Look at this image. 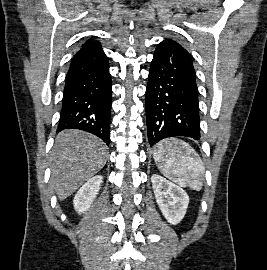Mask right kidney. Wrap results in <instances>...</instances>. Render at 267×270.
I'll return each instance as SVG.
<instances>
[{
  "instance_id": "obj_1",
  "label": "right kidney",
  "mask_w": 267,
  "mask_h": 270,
  "mask_svg": "<svg viewBox=\"0 0 267 270\" xmlns=\"http://www.w3.org/2000/svg\"><path fill=\"white\" fill-rule=\"evenodd\" d=\"M103 183V177L100 175L90 178L76 193L73 205L75 210L82 214L87 211L93 203L96 195L98 194L101 185Z\"/></svg>"
}]
</instances>
